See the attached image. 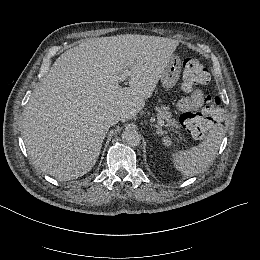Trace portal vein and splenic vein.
<instances>
[{"mask_svg":"<svg viewBox=\"0 0 260 260\" xmlns=\"http://www.w3.org/2000/svg\"><path fill=\"white\" fill-rule=\"evenodd\" d=\"M122 78H123V80H125L127 77L122 76ZM158 123H159L160 125H163V124H164V121H163L162 119H159V120H158Z\"/></svg>","mask_w":260,"mask_h":260,"instance_id":"18ae733b","label":"portal vein and splenic vein"}]
</instances>
